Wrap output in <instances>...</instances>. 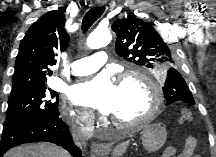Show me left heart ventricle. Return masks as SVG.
I'll return each instance as SVG.
<instances>
[{"label":"left heart ventricle","instance_id":"obj_1","mask_svg":"<svg viewBox=\"0 0 216 157\" xmlns=\"http://www.w3.org/2000/svg\"><path fill=\"white\" fill-rule=\"evenodd\" d=\"M150 106V93L145 84L138 80H127L117 86V103L112 117L130 122L146 114Z\"/></svg>","mask_w":216,"mask_h":157}]
</instances>
